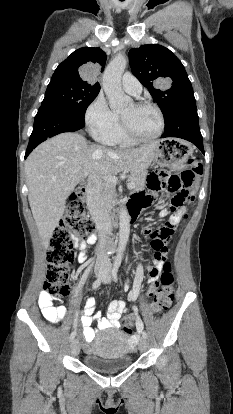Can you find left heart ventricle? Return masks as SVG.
<instances>
[{"instance_id":"left-heart-ventricle-1","label":"left heart ventricle","mask_w":233,"mask_h":414,"mask_svg":"<svg viewBox=\"0 0 233 414\" xmlns=\"http://www.w3.org/2000/svg\"><path fill=\"white\" fill-rule=\"evenodd\" d=\"M120 116L141 137L154 136L160 129V117L153 108H137L131 104L120 113Z\"/></svg>"}]
</instances>
